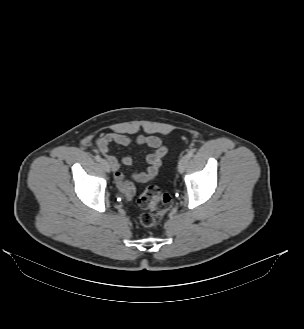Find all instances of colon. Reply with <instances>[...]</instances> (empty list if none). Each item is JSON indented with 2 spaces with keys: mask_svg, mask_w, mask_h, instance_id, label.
<instances>
[{
  "mask_svg": "<svg viewBox=\"0 0 304 329\" xmlns=\"http://www.w3.org/2000/svg\"><path fill=\"white\" fill-rule=\"evenodd\" d=\"M139 205L148 211L140 215V223L145 227H152L169 210L172 198L169 194L161 192L156 186H151L140 197Z\"/></svg>",
  "mask_w": 304,
  "mask_h": 329,
  "instance_id": "5ec220e1",
  "label": "colon"
}]
</instances>
